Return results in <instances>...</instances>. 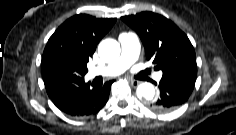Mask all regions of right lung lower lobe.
Masks as SVG:
<instances>
[{"mask_svg": "<svg viewBox=\"0 0 236 135\" xmlns=\"http://www.w3.org/2000/svg\"><path fill=\"white\" fill-rule=\"evenodd\" d=\"M48 96L55 106L73 117L97 113L106 104L113 80L104 84L85 83L83 75L56 69L42 70Z\"/></svg>", "mask_w": 236, "mask_h": 135, "instance_id": "right-lung-lower-lobe-1", "label": "right lung lower lobe"}]
</instances>
